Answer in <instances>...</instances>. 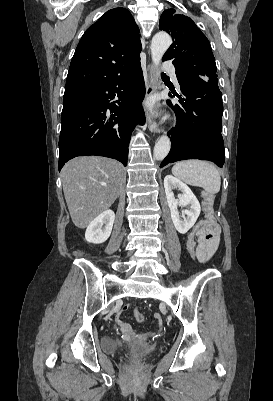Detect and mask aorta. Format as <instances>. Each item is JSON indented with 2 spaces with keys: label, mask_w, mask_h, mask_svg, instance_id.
I'll list each match as a JSON object with an SVG mask.
<instances>
[{
  "label": "aorta",
  "mask_w": 273,
  "mask_h": 401,
  "mask_svg": "<svg viewBox=\"0 0 273 401\" xmlns=\"http://www.w3.org/2000/svg\"><path fill=\"white\" fill-rule=\"evenodd\" d=\"M171 42V37L165 32H159L152 38L150 46L151 57L156 69H158L161 59L171 45ZM170 147L171 142L168 136L162 135L159 137L154 147V158L157 161L163 160L168 155Z\"/></svg>",
  "instance_id": "1"
}]
</instances>
